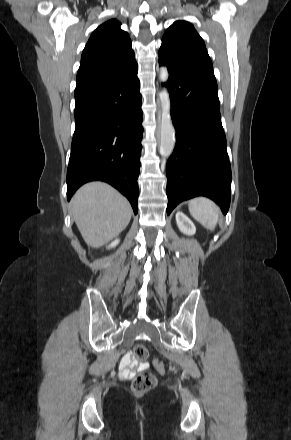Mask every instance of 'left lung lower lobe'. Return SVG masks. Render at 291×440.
I'll return each instance as SVG.
<instances>
[{
    "instance_id": "0a47b994",
    "label": "left lung lower lobe",
    "mask_w": 291,
    "mask_h": 440,
    "mask_svg": "<svg viewBox=\"0 0 291 440\" xmlns=\"http://www.w3.org/2000/svg\"><path fill=\"white\" fill-rule=\"evenodd\" d=\"M176 145L166 166L167 214L180 202L204 195L226 214L231 197V167L221 123L216 79L163 60Z\"/></svg>"
}]
</instances>
